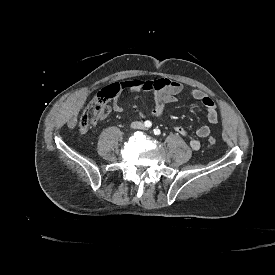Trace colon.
<instances>
[{
	"instance_id": "5ec220e1",
	"label": "colon",
	"mask_w": 275,
	"mask_h": 275,
	"mask_svg": "<svg viewBox=\"0 0 275 275\" xmlns=\"http://www.w3.org/2000/svg\"><path fill=\"white\" fill-rule=\"evenodd\" d=\"M107 104L103 102L91 103L85 111L82 113L79 125L82 130H88L91 127V124L103 119L108 112ZM208 143L214 145L216 143V138L210 136L208 138Z\"/></svg>"
}]
</instances>
